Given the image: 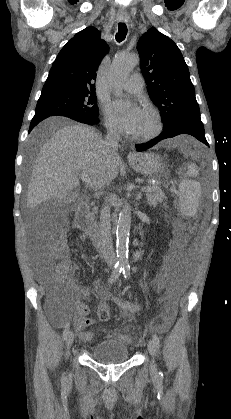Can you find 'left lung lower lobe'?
Segmentation results:
<instances>
[{
  "label": "left lung lower lobe",
  "instance_id": "0a47b994",
  "mask_svg": "<svg viewBox=\"0 0 231 419\" xmlns=\"http://www.w3.org/2000/svg\"><path fill=\"white\" fill-rule=\"evenodd\" d=\"M180 134L192 135L195 138H197L199 141H201L202 143L209 146L205 138L204 126L201 119L200 118H186L180 121L175 126L164 130L157 138L147 143L136 145V149L137 151L146 150L163 139L175 137Z\"/></svg>",
  "mask_w": 231,
  "mask_h": 419
}]
</instances>
